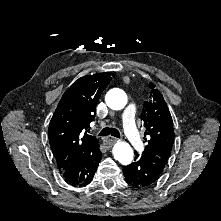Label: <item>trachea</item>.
<instances>
[{
    "mask_svg": "<svg viewBox=\"0 0 221 221\" xmlns=\"http://www.w3.org/2000/svg\"><path fill=\"white\" fill-rule=\"evenodd\" d=\"M107 135H112L114 137L120 138V133L115 128L106 127L99 134V136H107Z\"/></svg>",
    "mask_w": 221,
    "mask_h": 221,
    "instance_id": "obj_1",
    "label": "trachea"
}]
</instances>
